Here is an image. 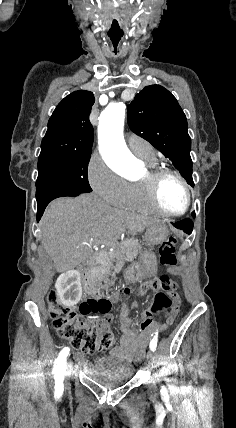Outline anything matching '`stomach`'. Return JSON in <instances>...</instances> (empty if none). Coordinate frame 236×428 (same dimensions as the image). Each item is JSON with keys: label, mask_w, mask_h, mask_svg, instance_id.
Returning a JSON list of instances; mask_svg holds the SVG:
<instances>
[{"label": "stomach", "mask_w": 236, "mask_h": 428, "mask_svg": "<svg viewBox=\"0 0 236 428\" xmlns=\"http://www.w3.org/2000/svg\"><path fill=\"white\" fill-rule=\"evenodd\" d=\"M169 236V230L164 222H156L153 226H147L144 234V242L148 246L147 252L140 254L141 260L133 262L131 265H124L123 271L126 274L120 275V282L127 286H136L139 283H147L153 280L158 269V258L154 256L152 250L154 246L162 244Z\"/></svg>", "instance_id": "0dacf381"}]
</instances>
